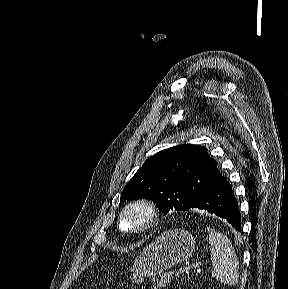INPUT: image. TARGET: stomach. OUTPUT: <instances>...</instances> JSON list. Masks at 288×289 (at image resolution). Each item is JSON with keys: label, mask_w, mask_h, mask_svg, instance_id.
Here are the masks:
<instances>
[{"label": "stomach", "mask_w": 288, "mask_h": 289, "mask_svg": "<svg viewBox=\"0 0 288 289\" xmlns=\"http://www.w3.org/2000/svg\"><path fill=\"white\" fill-rule=\"evenodd\" d=\"M194 249L195 238L190 232L168 230L140 252L130 271L144 277L156 276L189 258Z\"/></svg>", "instance_id": "0dacf381"}]
</instances>
